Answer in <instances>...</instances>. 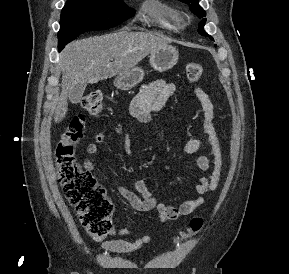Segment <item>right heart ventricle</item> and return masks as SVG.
Returning a JSON list of instances; mask_svg holds the SVG:
<instances>
[{
	"label": "right heart ventricle",
	"instance_id": "obj_1",
	"mask_svg": "<svg viewBox=\"0 0 289 274\" xmlns=\"http://www.w3.org/2000/svg\"><path fill=\"white\" fill-rule=\"evenodd\" d=\"M150 15L162 27L169 30H178L182 23L179 15L163 4H154L150 10Z\"/></svg>",
	"mask_w": 289,
	"mask_h": 274
}]
</instances>
